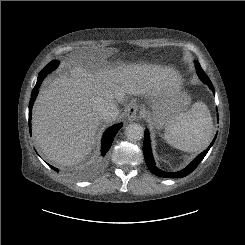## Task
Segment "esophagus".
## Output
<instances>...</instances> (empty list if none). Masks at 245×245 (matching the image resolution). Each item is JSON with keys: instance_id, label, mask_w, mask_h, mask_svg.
<instances>
[{"instance_id": "esophagus-1", "label": "esophagus", "mask_w": 245, "mask_h": 245, "mask_svg": "<svg viewBox=\"0 0 245 245\" xmlns=\"http://www.w3.org/2000/svg\"><path fill=\"white\" fill-rule=\"evenodd\" d=\"M139 117V106L137 104H131L127 109V119L132 122L138 120Z\"/></svg>"}]
</instances>
